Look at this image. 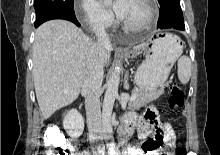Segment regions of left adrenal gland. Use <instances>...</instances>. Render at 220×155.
I'll return each instance as SVG.
<instances>
[{"label":"left adrenal gland","instance_id":"obj_1","mask_svg":"<svg viewBox=\"0 0 220 155\" xmlns=\"http://www.w3.org/2000/svg\"><path fill=\"white\" fill-rule=\"evenodd\" d=\"M124 88L127 90L129 89V85H128V73L125 76V81H124Z\"/></svg>","mask_w":220,"mask_h":155}]
</instances>
